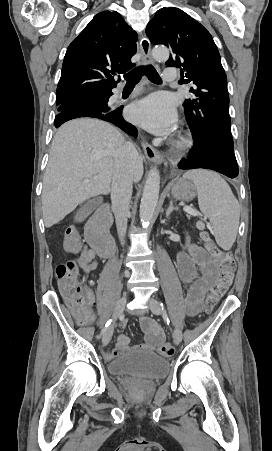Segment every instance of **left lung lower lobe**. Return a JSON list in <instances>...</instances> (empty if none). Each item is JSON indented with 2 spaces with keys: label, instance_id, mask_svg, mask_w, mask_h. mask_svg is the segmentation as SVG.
<instances>
[{
  "label": "left lung lower lobe",
  "instance_id": "1",
  "mask_svg": "<svg viewBox=\"0 0 272 451\" xmlns=\"http://www.w3.org/2000/svg\"><path fill=\"white\" fill-rule=\"evenodd\" d=\"M189 159L182 160L180 169H211L230 178H235L238 173V165L234 149L219 140H210L199 143L190 150Z\"/></svg>",
  "mask_w": 272,
  "mask_h": 451
}]
</instances>
